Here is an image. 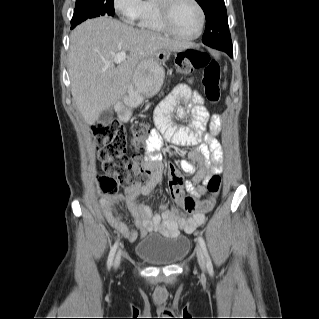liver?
I'll return each mask as SVG.
<instances>
[{
	"mask_svg": "<svg viewBox=\"0 0 319 319\" xmlns=\"http://www.w3.org/2000/svg\"><path fill=\"white\" fill-rule=\"evenodd\" d=\"M189 45L136 29L110 17L89 19L70 35L68 72L73 100L85 122L94 124L102 111L124 97L136 67L161 49L182 51ZM129 52L115 67L118 52Z\"/></svg>",
	"mask_w": 319,
	"mask_h": 319,
	"instance_id": "obj_1",
	"label": "liver"
}]
</instances>
